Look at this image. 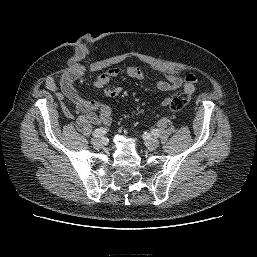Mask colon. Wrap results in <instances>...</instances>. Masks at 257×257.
<instances>
[{"mask_svg":"<svg viewBox=\"0 0 257 257\" xmlns=\"http://www.w3.org/2000/svg\"><path fill=\"white\" fill-rule=\"evenodd\" d=\"M194 90H184L172 96L169 102V107L172 111L183 109L191 100Z\"/></svg>","mask_w":257,"mask_h":257,"instance_id":"obj_1","label":"colon"}]
</instances>
